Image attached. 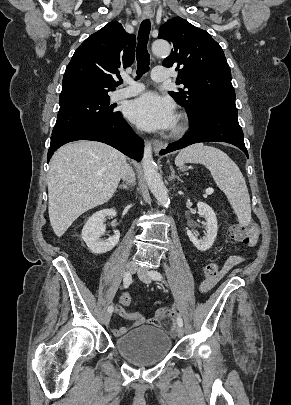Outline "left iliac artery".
<instances>
[{
    "label": "left iliac artery",
    "instance_id": "44dca946",
    "mask_svg": "<svg viewBox=\"0 0 291 405\" xmlns=\"http://www.w3.org/2000/svg\"><path fill=\"white\" fill-rule=\"evenodd\" d=\"M149 275L153 280H157V281L162 280V275L158 271L152 270L149 272ZM177 324H178V326H183V320L180 316L177 318Z\"/></svg>",
    "mask_w": 291,
    "mask_h": 405
}]
</instances>
